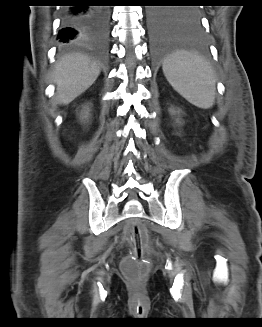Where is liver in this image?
<instances>
[{
  "label": "liver",
  "instance_id": "6515ba94",
  "mask_svg": "<svg viewBox=\"0 0 262 327\" xmlns=\"http://www.w3.org/2000/svg\"><path fill=\"white\" fill-rule=\"evenodd\" d=\"M99 74L96 63L84 55L71 54L62 58L54 71L58 103L67 105L72 102L96 81Z\"/></svg>",
  "mask_w": 262,
  "mask_h": 327
}]
</instances>
